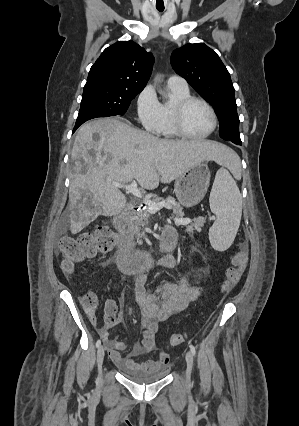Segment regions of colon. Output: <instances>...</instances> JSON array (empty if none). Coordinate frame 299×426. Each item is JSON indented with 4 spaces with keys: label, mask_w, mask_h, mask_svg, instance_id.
Wrapping results in <instances>:
<instances>
[{
    "label": "colon",
    "mask_w": 299,
    "mask_h": 426,
    "mask_svg": "<svg viewBox=\"0 0 299 426\" xmlns=\"http://www.w3.org/2000/svg\"><path fill=\"white\" fill-rule=\"evenodd\" d=\"M118 241L115 231L107 225L96 228L94 232L84 233L76 238L62 237L59 240V249L62 253V267L66 272H71L76 265L97 254L110 252ZM247 263V248L240 244L233 258V265L226 270L222 290L229 292L241 279ZM83 305L89 314H94L98 300L94 294L83 297ZM186 341V336L176 333L170 336L169 344L178 346Z\"/></svg>",
    "instance_id": "colon-1"
}]
</instances>
